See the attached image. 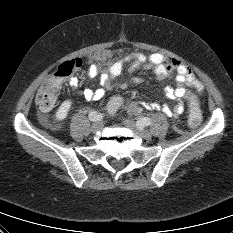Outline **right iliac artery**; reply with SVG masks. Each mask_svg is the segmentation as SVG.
Wrapping results in <instances>:
<instances>
[{
  "instance_id": "right-iliac-artery-1",
  "label": "right iliac artery",
  "mask_w": 233,
  "mask_h": 233,
  "mask_svg": "<svg viewBox=\"0 0 233 233\" xmlns=\"http://www.w3.org/2000/svg\"><path fill=\"white\" fill-rule=\"evenodd\" d=\"M88 117H89V119H90L91 121L100 120V119L102 118V116L99 115V114H98L97 112H95V111L90 112Z\"/></svg>"
}]
</instances>
